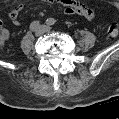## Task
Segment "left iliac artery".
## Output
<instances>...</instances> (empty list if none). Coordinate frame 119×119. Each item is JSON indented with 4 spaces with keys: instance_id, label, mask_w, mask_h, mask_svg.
<instances>
[{
    "instance_id": "1",
    "label": "left iliac artery",
    "mask_w": 119,
    "mask_h": 119,
    "mask_svg": "<svg viewBox=\"0 0 119 119\" xmlns=\"http://www.w3.org/2000/svg\"><path fill=\"white\" fill-rule=\"evenodd\" d=\"M46 24L47 25H54L55 24V19L54 18H48L46 20Z\"/></svg>"
}]
</instances>
